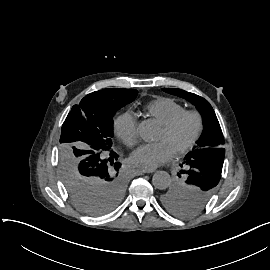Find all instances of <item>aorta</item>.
<instances>
[{
    "instance_id": "762f6f07",
    "label": "aorta",
    "mask_w": 270,
    "mask_h": 270,
    "mask_svg": "<svg viewBox=\"0 0 270 270\" xmlns=\"http://www.w3.org/2000/svg\"><path fill=\"white\" fill-rule=\"evenodd\" d=\"M152 184L155 188L164 190L171 184V177L166 171H157L152 178Z\"/></svg>"
}]
</instances>
